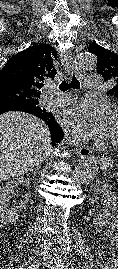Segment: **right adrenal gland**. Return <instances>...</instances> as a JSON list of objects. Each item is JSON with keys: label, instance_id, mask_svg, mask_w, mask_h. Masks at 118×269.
<instances>
[{"label": "right adrenal gland", "instance_id": "right-adrenal-gland-1", "mask_svg": "<svg viewBox=\"0 0 118 269\" xmlns=\"http://www.w3.org/2000/svg\"><path fill=\"white\" fill-rule=\"evenodd\" d=\"M38 169H40V165L35 166L33 169H31V171L36 174L38 172Z\"/></svg>", "mask_w": 118, "mask_h": 269}]
</instances>
